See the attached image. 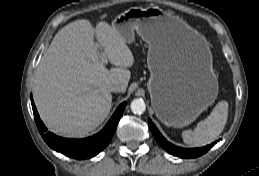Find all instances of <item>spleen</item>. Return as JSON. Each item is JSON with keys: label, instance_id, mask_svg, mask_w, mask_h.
<instances>
[{"label": "spleen", "instance_id": "3e777b00", "mask_svg": "<svg viewBox=\"0 0 259 176\" xmlns=\"http://www.w3.org/2000/svg\"><path fill=\"white\" fill-rule=\"evenodd\" d=\"M228 119V102H219L211 114L199 122L194 131L182 132L183 141L192 147H202L214 142L223 132Z\"/></svg>", "mask_w": 259, "mask_h": 176}]
</instances>
